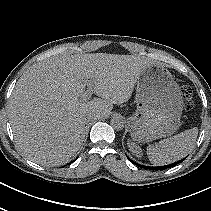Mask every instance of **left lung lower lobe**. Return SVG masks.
Here are the masks:
<instances>
[{"label":"left lung lower lobe","mask_w":211,"mask_h":211,"mask_svg":"<svg viewBox=\"0 0 211 211\" xmlns=\"http://www.w3.org/2000/svg\"><path fill=\"white\" fill-rule=\"evenodd\" d=\"M129 159V157H127ZM185 159V158H184ZM184 159L180 160V161H177V162H174L172 164H169V165H164V166H158V167H150V166H142V165H139L135 162H133L135 165L139 166V167H142V168H145V169H149V170H164V169H167V168H170V167H173V166H176L177 164L181 163L184 161Z\"/></svg>","instance_id":"obj_1"}]
</instances>
